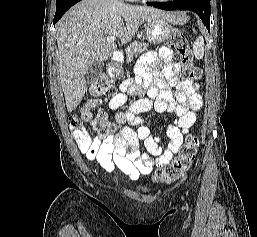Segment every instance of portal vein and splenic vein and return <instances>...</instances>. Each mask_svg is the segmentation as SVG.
<instances>
[{
    "instance_id": "portal-vein-and-splenic-vein-1",
    "label": "portal vein and splenic vein",
    "mask_w": 257,
    "mask_h": 237,
    "mask_svg": "<svg viewBox=\"0 0 257 237\" xmlns=\"http://www.w3.org/2000/svg\"><path fill=\"white\" fill-rule=\"evenodd\" d=\"M106 40H107L108 42H113V41H115V36H108V37L106 38Z\"/></svg>"
}]
</instances>
